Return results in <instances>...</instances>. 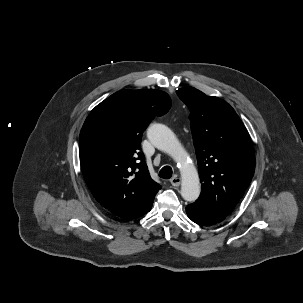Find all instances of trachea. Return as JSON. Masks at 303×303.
Returning a JSON list of instances; mask_svg holds the SVG:
<instances>
[{
    "instance_id": "obj_1",
    "label": "trachea",
    "mask_w": 303,
    "mask_h": 303,
    "mask_svg": "<svg viewBox=\"0 0 303 303\" xmlns=\"http://www.w3.org/2000/svg\"><path fill=\"white\" fill-rule=\"evenodd\" d=\"M172 168L170 166H164L160 172L159 176L163 179H170L172 177Z\"/></svg>"
}]
</instances>
